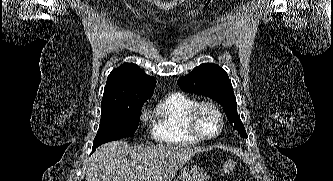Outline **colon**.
Segmentation results:
<instances>
[{"mask_svg": "<svg viewBox=\"0 0 333 181\" xmlns=\"http://www.w3.org/2000/svg\"><path fill=\"white\" fill-rule=\"evenodd\" d=\"M237 167V163L234 159L227 160L223 165V171L225 174H232Z\"/></svg>", "mask_w": 333, "mask_h": 181, "instance_id": "5ec220e1", "label": "colon"}]
</instances>
